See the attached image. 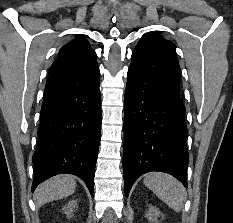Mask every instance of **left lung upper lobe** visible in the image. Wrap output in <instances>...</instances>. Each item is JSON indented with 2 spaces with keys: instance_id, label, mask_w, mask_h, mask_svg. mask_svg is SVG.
<instances>
[{
  "instance_id": "left-lung-upper-lobe-1",
  "label": "left lung upper lobe",
  "mask_w": 233,
  "mask_h": 223,
  "mask_svg": "<svg viewBox=\"0 0 233 223\" xmlns=\"http://www.w3.org/2000/svg\"><path fill=\"white\" fill-rule=\"evenodd\" d=\"M141 40H148V41H150L151 43H153L154 46H156L157 48H159L160 50H162L163 52H165L169 56L173 57L174 59H176V57H175V49H176L175 44L172 43L169 40H165L157 32L147 33L146 35H144L142 37Z\"/></svg>"
}]
</instances>
